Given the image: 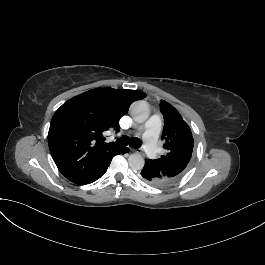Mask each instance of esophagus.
Listing matches in <instances>:
<instances>
[{
  "mask_svg": "<svg viewBox=\"0 0 265 265\" xmlns=\"http://www.w3.org/2000/svg\"><path fill=\"white\" fill-rule=\"evenodd\" d=\"M141 151V149H137V150H135V152H140Z\"/></svg>",
  "mask_w": 265,
  "mask_h": 265,
  "instance_id": "34e87169",
  "label": "esophagus"
}]
</instances>
